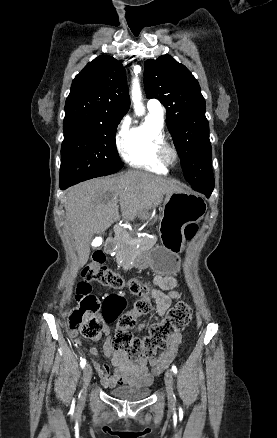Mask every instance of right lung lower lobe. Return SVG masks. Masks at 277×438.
<instances>
[{
    "label": "right lung lower lobe",
    "mask_w": 277,
    "mask_h": 438,
    "mask_svg": "<svg viewBox=\"0 0 277 438\" xmlns=\"http://www.w3.org/2000/svg\"><path fill=\"white\" fill-rule=\"evenodd\" d=\"M69 186H71V184H62V183H60V188H61L62 190L68 188Z\"/></svg>",
    "instance_id": "1"
}]
</instances>
